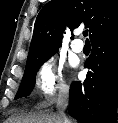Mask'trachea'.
<instances>
[{
	"label": "trachea",
	"instance_id": "obj_1",
	"mask_svg": "<svg viewBox=\"0 0 118 123\" xmlns=\"http://www.w3.org/2000/svg\"><path fill=\"white\" fill-rule=\"evenodd\" d=\"M83 35H84L85 37L88 36V30H85V31L83 32ZM86 42H89V40L86 39Z\"/></svg>",
	"mask_w": 118,
	"mask_h": 123
}]
</instances>
